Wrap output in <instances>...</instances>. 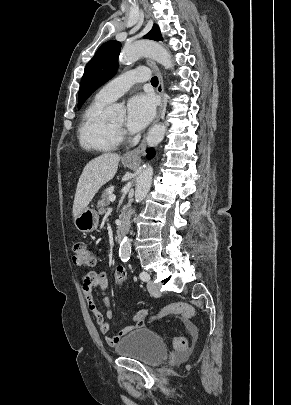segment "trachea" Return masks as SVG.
Returning <instances> with one entry per match:
<instances>
[{"label":"trachea","mask_w":291,"mask_h":405,"mask_svg":"<svg viewBox=\"0 0 291 405\" xmlns=\"http://www.w3.org/2000/svg\"><path fill=\"white\" fill-rule=\"evenodd\" d=\"M151 84L152 85H155V86H157L158 85V78L155 76V77H152V79H151Z\"/></svg>","instance_id":"3493384b"}]
</instances>
